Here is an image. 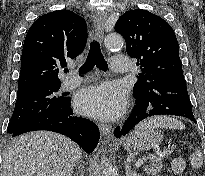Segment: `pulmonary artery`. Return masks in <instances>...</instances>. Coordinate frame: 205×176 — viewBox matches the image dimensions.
<instances>
[{"instance_id":"pulmonary-artery-1","label":"pulmonary artery","mask_w":205,"mask_h":176,"mask_svg":"<svg viewBox=\"0 0 205 176\" xmlns=\"http://www.w3.org/2000/svg\"><path fill=\"white\" fill-rule=\"evenodd\" d=\"M130 57L128 55H117L113 57L112 69L118 73H125L130 69ZM83 82V78L77 76H71L64 80L63 88L72 89L77 87Z\"/></svg>"}]
</instances>
